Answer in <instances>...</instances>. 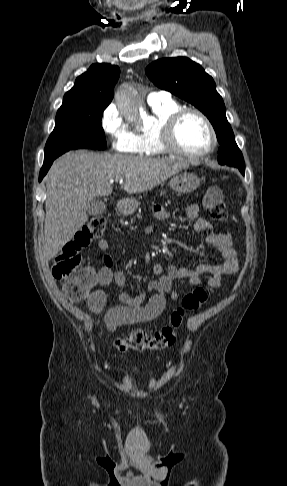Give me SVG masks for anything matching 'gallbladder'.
Masks as SVG:
<instances>
[{
    "label": "gallbladder",
    "mask_w": 287,
    "mask_h": 486,
    "mask_svg": "<svg viewBox=\"0 0 287 486\" xmlns=\"http://www.w3.org/2000/svg\"><path fill=\"white\" fill-rule=\"evenodd\" d=\"M106 210V205L101 200H91L87 208V213L91 216L102 215Z\"/></svg>",
    "instance_id": "gallbladder-1"
}]
</instances>
